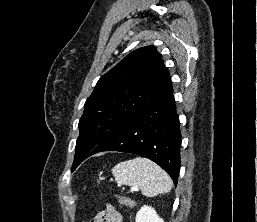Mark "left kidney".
Here are the masks:
<instances>
[{
	"label": "left kidney",
	"instance_id": "1",
	"mask_svg": "<svg viewBox=\"0 0 257 222\" xmlns=\"http://www.w3.org/2000/svg\"><path fill=\"white\" fill-rule=\"evenodd\" d=\"M135 222H164L156 211L147 205L141 207V209L136 214Z\"/></svg>",
	"mask_w": 257,
	"mask_h": 222
}]
</instances>
